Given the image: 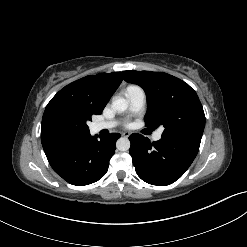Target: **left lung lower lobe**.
<instances>
[{
	"label": "left lung lower lobe",
	"instance_id": "0a47b994",
	"mask_svg": "<svg viewBox=\"0 0 247 247\" xmlns=\"http://www.w3.org/2000/svg\"><path fill=\"white\" fill-rule=\"evenodd\" d=\"M130 155L137 175L145 182L166 186L178 180L189 168L198 150L162 137L150 142L140 134H132Z\"/></svg>",
	"mask_w": 247,
	"mask_h": 247
}]
</instances>
